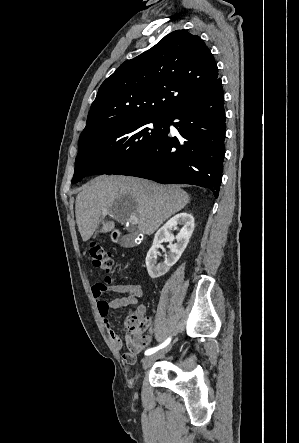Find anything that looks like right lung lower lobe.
<instances>
[{"label": "right lung lower lobe", "mask_w": 299, "mask_h": 443, "mask_svg": "<svg viewBox=\"0 0 299 443\" xmlns=\"http://www.w3.org/2000/svg\"><path fill=\"white\" fill-rule=\"evenodd\" d=\"M167 131L144 156L114 175L136 176L163 184H192L218 197L221 186L225 111L220 78L204 92L166 116ZM169 124L181 137L169 136Z\"/></svg>", "instance_id": "98d812e1"}]
</instances>
